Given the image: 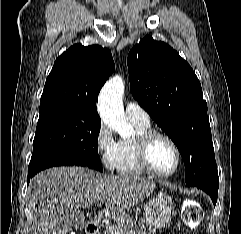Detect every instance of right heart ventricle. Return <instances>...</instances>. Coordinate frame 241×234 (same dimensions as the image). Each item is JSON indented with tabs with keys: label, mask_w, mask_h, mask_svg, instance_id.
Instances as JSON below:
<instances>
[{
	"label": "right heart ventricle",
	"mask_w": 241,
	"mask_h": 234,
	"mask_svg": "<svg viewBox=\"0 0 241 234\" xmlns=\"http://www.w3.org/2000/svg\"><path fill=\"white\" fill-rule=\"evenodd\" d=\"M132 123L136 129V134L132 138L121 139L117 142L114 155V170L122 175L139 176L144 175L146 171L138 159L137 140L141 134L150 130V124Z\"/></svg>",
	"instance_id": "1"
}]
</instances>
